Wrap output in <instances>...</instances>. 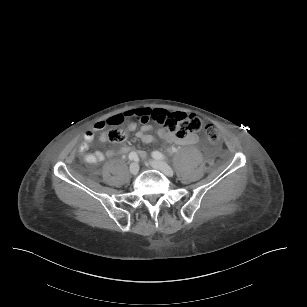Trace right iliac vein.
I'll list each match as a JSON object with an SVG mask.
<instances>
[{
  "instance_id": "obj_1",
  "label": "right iliac vein",
  "mask_w": 307,
  "mask_h": 307,
  "mask_svg": "<svg viewBox=\"0 0 307 307\" xmlns=\"http://www.w3.org/2000/svg\"><path fill=\"white\" fill-rule=\"evenodd\" d=\"M129 170H130V173H131L132 175H136V174L139 172V165H138V163L133 162V163L130 165Z\"/></svg>"
}]
</instances>
